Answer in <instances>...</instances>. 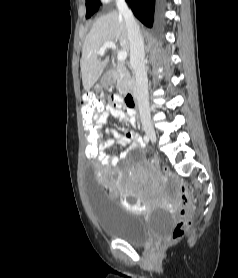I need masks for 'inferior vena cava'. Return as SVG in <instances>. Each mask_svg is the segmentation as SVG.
<instances>
[{"label":"inferior vena cava","instance_id":"inferior-vena-cava-1","mask_svg":"<svg viewBox=\"0 0 238 278\" xmlns=\"http://www.w3.org/2000/svg\"><path fill=\"white\" fill-rule=\"evenodd\" d=\"M119 13L124 17L129 42L130 63L135 72V97L137 100L141 122L143 126H151V116L148 96V79L145 67L144 41L140 28L136 23L132 11L128 8L125 0H116Z\"/></svg>","mask_w":238,"mask_h":278}]
</instances>
